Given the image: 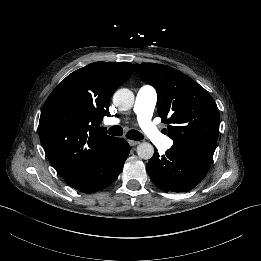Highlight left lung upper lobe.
<instances>
[{
  "label": "left lung upper lobe",
  "instance_id": "5c2ea615",
  "mask_svg": "<svg viewBox=\"0 0 261 261\" xmlns=\"http://www.w3.org/2000/svg\"><path fill=\"white\" fill-rule=\"evenodd\" d=\"M135 68L139 77L157 91L158 115L168 123L173 147L197 148L214 154L219 113L211 95L172 67L144 63L135 64Z\"/></svg>",
  "mask_w": 261,
  "mask_h": 261
}]
</instances>
